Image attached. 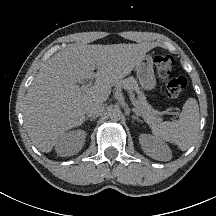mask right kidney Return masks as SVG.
I'll use <instances>...</instances> for the list:
<instances>
[{
  "label": "right kidney",
  "mask_w": 216,
  "mask_h": 216,
  "mask_svg": "<svg viewBox=\"0 0 216 216\" xmlns=\"http://www.w3.org/2000/svg\"><path fill=\"white\" fill-rule=\"evenodd\" d=\"M86 133L83 130H75L64 133L55 145L56 152L62 156H71L78 153L85 142Z\"/></svg>",
  "instance_id": "ca27d5eb"
}]
</instances>
